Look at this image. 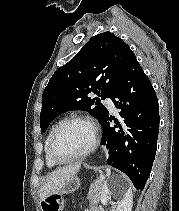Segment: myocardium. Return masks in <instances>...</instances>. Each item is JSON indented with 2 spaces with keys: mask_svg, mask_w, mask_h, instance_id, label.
<instances>
[{
  "mask_svg": "<svg viewBox=\"0 0 179 211\" xmlns=\"http://www.w3.org/2000/svg\"><path fill=\"white\" fill-rule=\"evenodd\" d=\"M75 121L85 122V123H87L91 126L92 131H93L92 143L90 144V146L85 151H83L82 153H80V154H78L74 157H71V158H68V159L60 158L55 152V142L57 140V137H58L60 131L63 129L64 126H66L67 124H69L71 122H75ZM99 137H100L99 128H98L97 124L91 118L84 116V115L69 116V117L63 119L62 121H60L57 124L56 128L54 129L52 136L50 138V142H49V148H48L49 155H50L51 159L56 164L72 163L74 161L83 159V158L89 156L91 153H93L96 150V148L99 144Z\"/></svg>",
  "mask_w": 179,
  "mask_h": 211,
  "instance_id": "myocardium-1",
  "label": "myocardium"
}]
</instances>
